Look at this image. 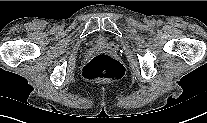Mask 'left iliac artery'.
Listing matches in <instances>:
<instances>
[{
  "label": "left iliac artery",
  "mask_w": 207,
  "mask_h": 123,
  "mask_svg": "<svg viewBox=\"0 0 207 123\" xmlns=\"http://www.w3.org/2000/svg\"><path fill=\"white\" fill-rule=\"evenodd\" d=\"M157 24L162 25V21L158 20Z\"/></svg>",
  "instance_id": "left-iliac-artery-1"
}]
</instances>
